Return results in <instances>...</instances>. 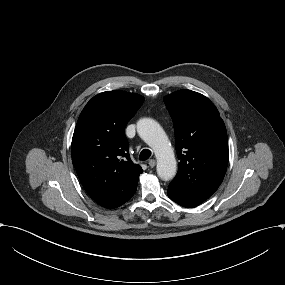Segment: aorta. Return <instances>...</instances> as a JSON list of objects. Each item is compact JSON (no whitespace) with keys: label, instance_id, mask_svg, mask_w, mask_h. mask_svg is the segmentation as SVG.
<instances>
[{"label":"aorta","instance_id":"1","mask_svg":"<svg viewBox=\"0 0 285 285\" xmlns=\"http://www.w3.org/2000/svg\"><path fill=\"white\" fill-rule=\"evenodd\" d=\"M137 132L155 153L158 176L166 181L172 179L177 170L176 159L162 127L153 119L142 118L137 122Z\"/></svg>","mask_w":285,"mask_h":285}]
</instances>
